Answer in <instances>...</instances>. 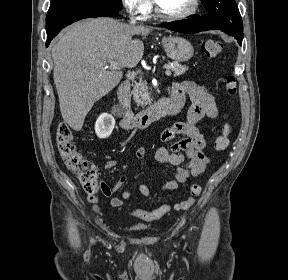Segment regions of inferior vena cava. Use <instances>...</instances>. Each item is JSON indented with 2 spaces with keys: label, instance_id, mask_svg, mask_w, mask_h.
<instances>
[{
  "label": "inferior vena cava",
  "instance_id": "1",
  "mask_svg": "<svg viewBox=\"0 0 288 280\" xmlns=\"http://www.w3.org/2000/svg\"><path fill=\"white\" fill-rule=\"evenodd\" d=\"M131 24H136V21L132 19Z\"/></svg>",
  "mask_w": 288,
  "mask_h": 280
}]
</instances>
